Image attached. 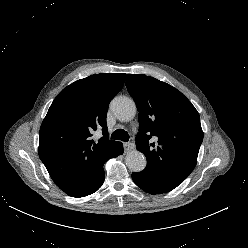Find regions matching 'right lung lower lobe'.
Masks as SVG:
<instances>
[{
	"label": "right lung lower lobe",
	"mask_w": 248,
	"mask_h": 248,
	"mask_svg": "<svg viewBox=\"0 0 248 248\" xmlns=\"http://www.w3.org/2000/svg\"><path fill=\"white\" fill-rule=\"evenodd\" d=\"M123 153V145L121 142H118L116 146L112 149V152L110 154V158L117 157ZM105 179V173L104 170L100 172V174L95 178L93 182H91L87 187L83 188L80 191L75 192L74 194H70L72 197H84L87 195H90L97 191L101 185L103 184Z\"/></svg>",
	"instance_id": "1"
}]
</instances>
